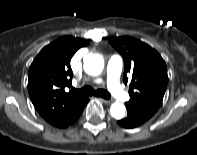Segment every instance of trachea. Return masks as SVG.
<instances>
[{
	"label": "trachea",
	"instance_id": "obj_1",
	"mask_svg": "<svg viewBox=\"0 0 197 155\" xmlns=\"http://www.w3.org/2000/svg\"><path fill=\"white\" fill-rule=\"evenodd\" d=\"M74 91L77 92V93L83 94V95H88V96L96 95V96L102 97L104 99H110L111 98V95L108 91H106L104 89L94 90L90 86H85L81 89L74 90Z\"/></svg>",
	"mask_w": 197,
	"mask_h": 155
}]
</instances>
